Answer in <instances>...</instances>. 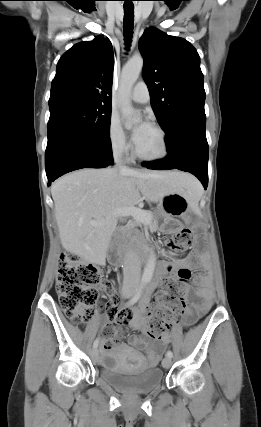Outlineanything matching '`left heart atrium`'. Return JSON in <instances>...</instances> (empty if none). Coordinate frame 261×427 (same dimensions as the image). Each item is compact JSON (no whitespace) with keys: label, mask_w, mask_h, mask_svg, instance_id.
<instances>
[{"label":"left heart atrium","mask_w":261,"mask_h":427,"mask_svg":"<svg viewBox=\"0 0 261 427\" xmlns=\"http://www.w3.org/2000/svg\"><path fill=\"white\" fill-rule=\"evenodd\" d=\"M151 128L150 124L147 121H143L138 125L132 133V141L137 145L145 135V133Z\"/></svg>","instance_id":"1"}]
</instances>
